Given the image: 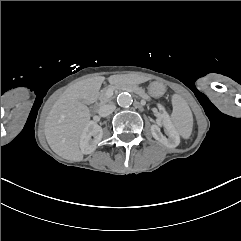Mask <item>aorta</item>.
Listing matches in <instances>:
<instances>
[{"label": "aorta", "mask_w": 241, "mask_h": 241, "mask_svg": "<svg viewBox=\"0 0 241 241\" xmlns=\"http://www.w3.org/2000/svg\"><path fill=\"white\" fill-rule=\"evenodd\" d=\"M132 102V96L127 92L121 93L117 97V103L121 107H129L132 104Z\"/></svg>", "instance_id": "762f6f07"}]
</instances>
